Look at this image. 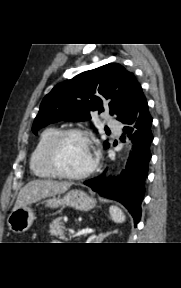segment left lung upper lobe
<instances>
[{"label":"left lung upper lobe","instance_id":"left-lung-upper-lobe-1","mask_svg":"<svg viewBox=\"0 0 181 288\" xmlns=\"http://www.w3.org/2000/svg\"><path fill=\"white\" fill-rule=\"evenodd\" d=\"M140 88L135 76L117 63L85 71L56 85L44 97L32 131L37 134L40 128L60 120H90L92 112H103L106 107L122 121ZM108 146L105 141L104 147Z\"/></svg>","mask_w":181,"mask_h":288}]
</instances>
